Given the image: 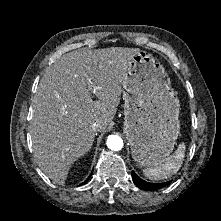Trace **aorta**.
I'll return each mask as SVG.
<instances>
[{
  "label": "aorta",
  "instance_id": "aorta-1",
  "mask_svg": "<svg viewBox=\"0 0 221 221\" xmlns=\"http://www.w3.org/2000/svg\"><path fill=\"white\" fill-rule=\"evenodd\" d=\"M107 147L113 151H119L123 147V140L118 135H110L107 138Z\"/></svg>",
  "mask_w": 221,
  "mask_h": 221
}]
</instances>
